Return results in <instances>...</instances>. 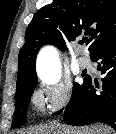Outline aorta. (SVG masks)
<instances>
[{"label": "aorta", "mask_w": 116, "mask_h": 134, "mask_svg": "<svg viewBox=\"0 0 116 134\" xmlns=\"http://www.w3.org/2000/svg\"><path fill=\"white\" fill-rule=\"evenodd\" d=\"M37 73L45 84L53 85L60 80L61 63L55 48H42L37 58Z\"/></svg>", "instance_id": "1"}]
</instances>
